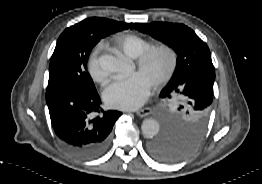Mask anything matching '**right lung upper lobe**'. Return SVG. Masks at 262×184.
Listing matches in <instances>:
<instances>
[{"instance_id":"obj_1","label":"right lung upper lobe","mask_w":262,"mask_h":184,"mask_svg":"<svg viewBox=\"0 0 262 184\" xmlns=\"http://www.w3.org/2000/svg\"><path fill=\"white\" fill-rule=\"evenodd\" d=\"M96 18V17H94ZM104 19V18H103ZM110 22H112L113 24H116L118 26H121V27H126L127 29L132 25L131 23L130 24H127V23H121V22H117V21H113V20H109V19H106Z\"/></svg>"}]
</instances>
